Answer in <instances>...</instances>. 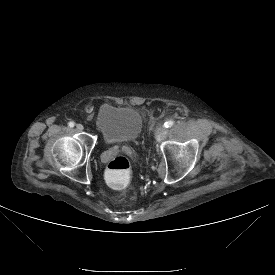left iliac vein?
I'll use <instances>...</instances> for the list:
<instances>
[{"mask_svg": "<svg viewBox=\"0 0 275 275\" xmlns=\"http://www.w3.org/2000/svg\"><path fill=\"white\" fill-rule=\"evenodd\" d=\"M167 134V129L164 126H159L155 130V138L157 141H162Z\"/></svg>", "mask_w": 275, "mask_h": 275, "instance_id": "1", "label": "left iliac vein"}]
</instances>
